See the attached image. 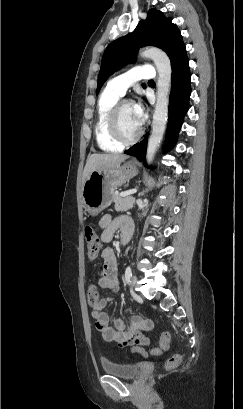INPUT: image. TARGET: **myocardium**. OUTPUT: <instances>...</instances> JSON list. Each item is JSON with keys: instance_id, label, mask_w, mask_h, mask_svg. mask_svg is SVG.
<instances>
[{"instance_id": "myocardium-1", "label": "myocardium", "mask_w": 243, "mask_h": 409, "mask_svg": "<svg viewBox=\"0 0 243 409\" xmlns=\"http://www.w3.org/2000/svg\"><path fill=\"white\" fill-rule=\"evenodd\" d=\"M129 104L132 105V102L130 100L127 99L119 100L111 110L108 120L110 135L117 143L121 145H130L135 143L136 141H138V139L141 137L143 133L142 127H140L137 133L132 137H125L121 131L119 124L120 112L125 105Z\"/></svg>"}]
</instances>
